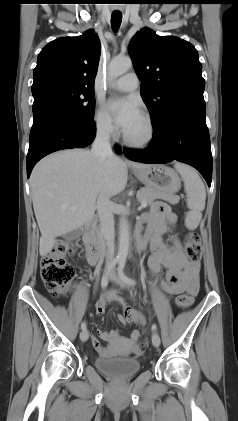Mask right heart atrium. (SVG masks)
<instances>
[{
  "instance_id": "d8ad5b80",
  "label": "right heart atrium",
  "mask_w": 238,
  "mask_h": 421,
  "mask_svg": "<svg viewBox=\"0 0 238 421\" xmlns=\"http://www.w3.org/2000/svg\"><path fill=\"white\" fill-rule=\"evenodd\" d=\"M94 124L97 132L104 137L111 138L117 133L111 117L102 107H98L94 113Z\"/></svg>"
}]
</instances>
